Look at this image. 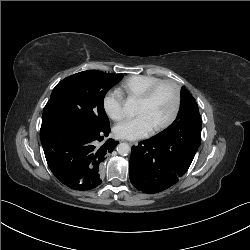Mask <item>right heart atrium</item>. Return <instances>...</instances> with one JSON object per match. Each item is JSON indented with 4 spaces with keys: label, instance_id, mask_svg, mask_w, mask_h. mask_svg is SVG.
Segmentation results:
<instances>
[{
    "label": "right heart atrium",
    "instance_id": "d8ad5b80",
    "mask_svg": "<svg viewBox=\"0 0 250 250\" xmlns=\"http://www.w3.org/2000/svg\"><path fill=\"white\" fill-rule=\"evenodd\" d=\"M102 107L105 114L113 121H119L124 117V98L116 90H108L102 99Z\"/></svg>",
    "mask_w": 250,
    "mask_h": 250
}]
</instances>
